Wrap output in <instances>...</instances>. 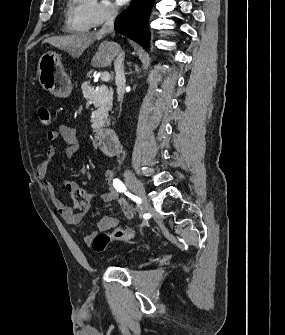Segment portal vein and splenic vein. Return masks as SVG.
Here are the masks:
<instances>
[{"mask_svg": "<svg viewBox=\"0 0 285 335\" xmlns=\"http://www.w3.org/2000/svg\"><path fill=\"white\" fill-rule=\"evenodd\" d=\"M100 78H101L102 82H109L110 74H101Z\"/></svg>", "mask_w": 285, "mask_h": 335, "instance_id": "18ae733b", "label": "portal vein and splenic vein"}]
</instances>
